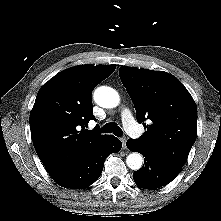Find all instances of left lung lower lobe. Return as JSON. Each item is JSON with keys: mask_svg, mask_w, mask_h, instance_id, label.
Wrapping results in <instances>:
<instances>
[{"mask_svg": "<svg viewBox=\"0 0 221 221\" xmlns=\"http://www.w3.org/2000/svg\"><path fill=\"white\" fill-rule=\"evenodd\" d=\"M127 148L133 152H139L144 157V165L133 173L135 183L144 189H156L170 183L181 171L178 166L156 151L143 145L138 140L129 139L126 143Z\"/></svg>", "mask_w": 221, "mask_h": 221, "instance_id": "left-lung-lower-lobe-1", "label": "left lung lower lobe"}]
</instances>
